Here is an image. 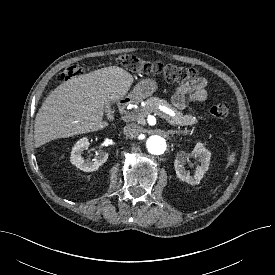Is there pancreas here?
I'll list each match as a JSON object with an SVG mask.
<instances>
[{
  "mask_svg": "<svg viewBox=\"0 0 275 275\" xmlns=\"http://www.w3.org/2000/svg\"><path fill=\"white\" fill-rule=\"evenodd\" d=\"M165 106L174 111L175 115H167L168 120L173 125H193L198 122V119L192 115H184L180 111L174 109L166 100L160 99L158 97H151L145 101V105L141 107L136 115L135 119L139 120L141 123H144V118L149 113H159L158 107Z\"/></svg>",
  "mask_w": 275,
  "mask_h": 275,
  "instance_id": "cf45deb5",
  "label": "pancreas"
}]
</instances>
